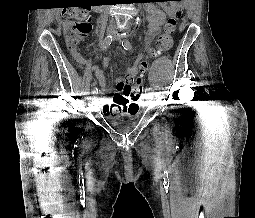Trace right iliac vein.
Masks as SVG:
<instances>
[{
    "label": "right iliac vein",
    "instance_id": "obj_1",
    "mask_svg": "<svg viewBox=\"0 0 255 218\" xmlns=\"http://www.w3.org/2000/svg\"><path fill=\"white\" fill-rule=\"evenodd\" d=\"M98 97V92L94 93V98Z\"/></svg>",
    "mask_w": 255,
    "mask_h": 218
}]
</instances>
